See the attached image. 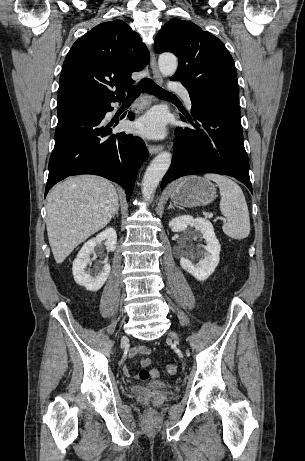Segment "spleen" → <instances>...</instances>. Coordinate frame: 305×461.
<instances>
[{"label": "spleen", "mask_w": 305, "mask_h": 461, "mask_svg": "<svg viewBox=\"0 0 305 461\" xmlns=\"http://www.w3.org/2000/svg\"><path fill=\"white\" fill-rule=\"evenodd\" d=\"M206 180L217 183L220 190V211L226 217L223 232L237 240L248 237L250 218L248 206L242 189L230 178L219 174H206Z\"/></svg>", "instance_id": "1"}]
</instances>
